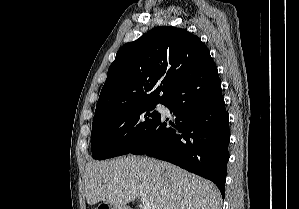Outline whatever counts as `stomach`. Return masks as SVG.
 <instances>
[{"label":"stomach","mask_w":299,"mask_h":209,"mask_svg":"<svg viewBox=\"0 0 299 209\" xmlns=\"http://www.w3.org/2000/svg\"><path fill=\"white\" fill-rule=\"evenodd\" d=\"M102 206H105V207H102ZM103 208H106V209H124L123 207L112 206L108 203L99 204L96 209H103Z\"/></svg>","instance_id":"stomach-1"}]
</instances>
